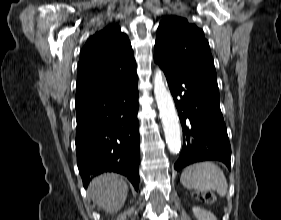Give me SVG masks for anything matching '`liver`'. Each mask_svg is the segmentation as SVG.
<instances>
[{
    "label": "liver",
    "mask_w": 281,
    "mask_h": 220,
    "mask_svg": "<svg viewBox=\"0 0 281 220\" xmlns=\"http://www.w3.org/2000/svg\"><path fill=\"white\" fill-rule=\"evenodd\" d=\"M93 202L107 213L119 211L128 194V186L118 174L107 173L95 177L88 188Z\"/></svg>",
    "instance_id": "6515ba94"
}]
</instances>
